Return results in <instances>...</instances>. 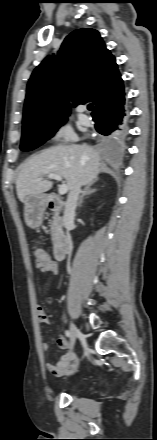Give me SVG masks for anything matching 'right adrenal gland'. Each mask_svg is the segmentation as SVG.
<instances>
[{"mask_svg": "<svg viewBox=\"0 0 157 440\" xmlns=\"http://www.w3.org/2000/svg\"><path fill=\"white\" fill-rule=\"evenodd\" d=\"M93 183L87 184L84 188V190L81 192V196L78 200V204L77 207H81L82 203H83V198L86 195H90L92 193H95L97 191V189L92 188Z\"/></svg>", "mask_w": 157, "mask_h": 440, "instance_id": "2a0ac1e0", "label": "right adrenal gland"}]
</instances>
